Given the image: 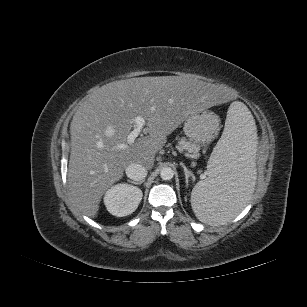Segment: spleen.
Here are the masks:
<instances>
[{"mask_svg": "<svg viewBox=\"0 0 307 307\" xmlns=\"http://www.w3.org/2000/svg\"><path fill=\"white\" fill-rule=\"evenodd\" d=\"M256 125L248 108L234 102L207 164L208 176L191 192L196 217L211 226L236 217L255 186Z\"/></svg>", "mask_w": 307, "mask_h": 307, "instance_id": "spleen-1", "label": "spleen"}]
</instances>
